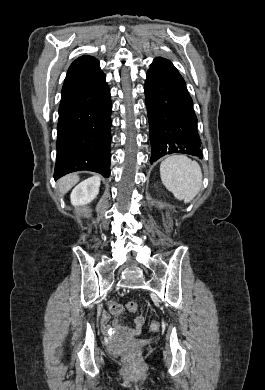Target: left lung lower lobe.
I'll return each instance as SVG.
<instances>
[{"mask_svg":"<svg viewBox=\"0 0 265 390\" xmlns=\"http://www.w3.org/2000/svg\"><path fill=\"white\" fill-rule=\"evenodd\" d=\"M144 89L152 149L150 163L173 153L202 159L192 98L174 65L164 58H155Z\"/></svg>","mask_w":265,"mask_h":390,"instance_id":"0a47b994","label":"left lung lower lobe"}]
</instances>
